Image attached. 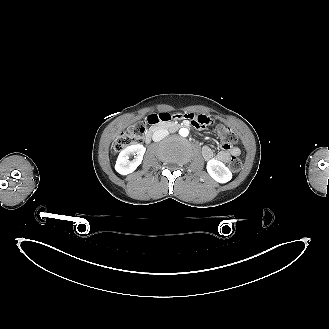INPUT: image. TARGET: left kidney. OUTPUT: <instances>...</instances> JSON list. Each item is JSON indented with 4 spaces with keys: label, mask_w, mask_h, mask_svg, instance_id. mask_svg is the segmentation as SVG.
<instances>
[{
    "label": "left kidney",
    "mask_w": 329,
    "mask_h": 329,
    "mask_svg": "<svg viewBox=\"0 0 329 329\" xmlns=\"http://www.w3.org/2000/svg\"><path fill=\"white\" fill-rule=\"evenodd\" d=\"M207 172L219 183H226L232 179V173L224 163L216 159L207 162Z\"/></svg>",
    "instance_id": "obj_1"
}]
</instances>
